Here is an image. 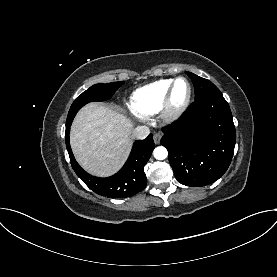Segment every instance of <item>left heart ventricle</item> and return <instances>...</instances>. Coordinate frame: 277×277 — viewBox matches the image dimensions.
<instances>
[{
	"label": "left heart ventricle",
	"instance_id": "b2bd125f",
	"mask_svg": "<svg viewBox=\"0 0 277 277\" xmlns=\"http://www.w3.org/2000/svg\"><path fill=\"white\" fill-rule=\"evenodd\" d=\"M187 91L188 89H187L186 83L183 81L178 82L174 92V98H173L174 103L175 104L181 103L186 97Z\"/></svg>",
	"mask_w": 277,
	"mask_h": 277
}]
</instances>
